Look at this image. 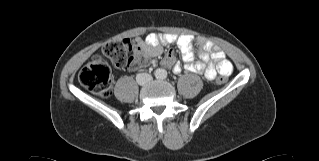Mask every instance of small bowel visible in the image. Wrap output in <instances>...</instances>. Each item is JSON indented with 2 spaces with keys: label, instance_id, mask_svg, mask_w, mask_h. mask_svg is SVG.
Returning <instances> with one entry per match:
<instances>
[{
  "label": "small bowel",
  "instance_id": "small-bowel-1",
  "mask_svg": "<svg viewBox=\"0 0 319 161\" xmlns=\"http://www.w3.org/2000/svg\"><path fill=\"white\" fill-rule=\"evenodd\" d=\"M136 42L144 46L149 54L154 57L162 54L164 44H176L183 61L186 63L187 70L203 74L208 80H213L218 73L228 76L232 72V65L225 58L224 52L219 47H213L210 42L198 41L200 61L194 62L193 39L188 35L150 33L144 38H137ZM210 60L215 61L216 65L209 64ZM163 65L171 67L175 73L182 70L181 65L175 60L173 49L167 53Z\"/></svg>",
  "mask_w": 319,
  "mask_h": 161
}]
</instances>
